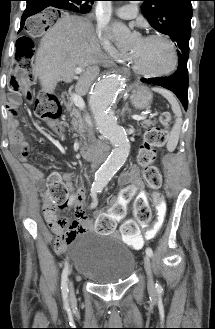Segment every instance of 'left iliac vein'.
<instances>
[{"mask_svg":"<svg viewBox=\"0 0 215 329\" xmlns=\"http://www.w3.org/2000/svg\"><path fill=\"white\" fill-rule=\"evenodd\" d=\"M144 268L147 274L148 288L151 292H154L155 287H154V280L152 274L151 260L148 255L144 257Z\"/></svg>","mask_w":215,"mask_h":329,"instance_id":"left-iliac-vein-1","label":"left iliac vein"}]
</instances>
